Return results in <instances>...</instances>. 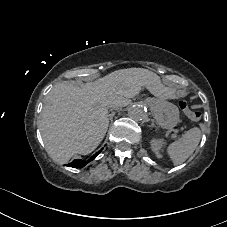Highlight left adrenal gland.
<instances>
[{
    "label": "left adrenal gland",
    "mask_w": 227,
    "mask_h": 227,
    "mask_svg": "<svg viewBox=\"0 0 227 227\" xmlns=\"http://www.w3.org/2000/svg\"><path fill=\"white\" fill-rule=\"evenodd\" d=\"M151 121H152L151 127H156L157 128V126L154 123V119H151Z\"/></svg>",
    "instance_id": "a2214340"
}]
</instances>
